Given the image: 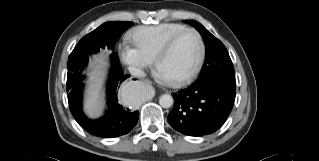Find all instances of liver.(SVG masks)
Listing matches in <instances>:
<instances>
[{"label":"liver","instance_id":"liver-1","mask_svg":"<svg viewBox=\"0 0 319 161\" xmlns=\"http://www.w3.org/2000/svg\"><path fill=\"white\" fill-rule=\"evenodd\" d=\"M106 56H95L88 73L89 80L85 94L84 109L91 118L99 117L104 107V75L107 63Z\"/></svg>","mask_w":319,"mask_h":161}]
</instances>
